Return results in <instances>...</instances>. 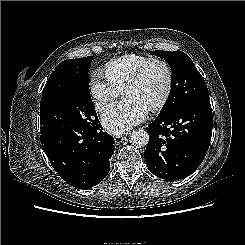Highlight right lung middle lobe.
Returning <instances> with one entry per match:
<instances>
[{
  "label": "right lung middle lobe",
  "mask_w": 245,
  "mask_h": 245,
  "mask_svg": "<svg viewBox=\"0 0 245 245\" xmlns=\"http://www.w3.org/2000/svg\"><path fill=\"white\" fill-rule=\"evenodd\" d=\"M93 56L69 59L57 65L43 90L41 127H89L98 117L89 92L88 70Z\"/></svg>",
  "instance_id": "1"
}]
</instances>
